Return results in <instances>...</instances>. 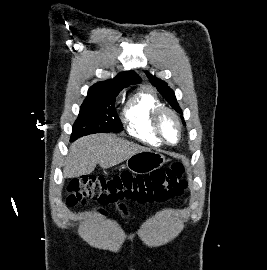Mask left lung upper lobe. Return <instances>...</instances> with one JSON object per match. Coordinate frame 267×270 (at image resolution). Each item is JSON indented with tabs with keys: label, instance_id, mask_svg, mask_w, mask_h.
Instances as JSON below:
<instances>
[{
	"label": "left lung upper lobe",
	"instance_id": "left-lung-upper-lobe-1",
	"mask_svg": "<svg viewBox=\"0 0 267 270\" xmlns=\"http://www.w3.org/2000/svg\"><path fill=\"white\" fill-rule=\"evenodd\" d=\"M146 75L149 78V80L151 81V83L155 87H157V90L159 91V93L167 100V102H169V104L172 106V108L175 111H177L178 113L182 114V110L176 101V97L174 95V92L172 91V89L169 86H167V83L152 76L148 72H146ZM183 123L185 124L184 120H183Z\"/></svg>",
	"mask_w": 267,
	"mask_h": 270
}]
</instances>
